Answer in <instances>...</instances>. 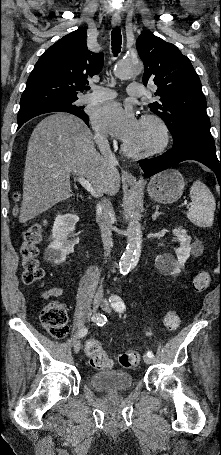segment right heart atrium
<instances>
[{
	"instance_id": "right-heart-atrium-1",
	"label": "right heart atrium",
	"mask_w": 221,
	"mask_h": 455,
	"mask_svg": "<svg viewBox=\"0 0 221 455\" xmlns=\"http://www.w3.org/2000/svg\"><path fill=\"white\" fill-rule=\"evenodd\" d=\"M96 140H97V143L99 144V146H101V147H103L107 144V138L101 132L96 133Z\"/></svg>"
}]
</instances>
